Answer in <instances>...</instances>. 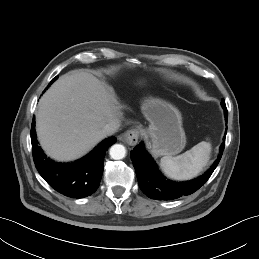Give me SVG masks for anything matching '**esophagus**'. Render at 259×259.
I'll list each match as a JSON object with an SVG mask.
<instances>
[{"instance_id": "esophagus-1", "label": "esophagus", "mask_w": 259, "mask_h": 259, "mask_svg": "<svg viewBox=\"0 0 259 259\" xmlns=\"http://www.w3.org/2000/svg\"><path fill=\"white\" fill-rule=\"evenodd\" d=\"M139 136L140 131L138 129H130L123 134L122 140L128 145L134 146L137 144Z\"/></svg>"}]
</instances>
